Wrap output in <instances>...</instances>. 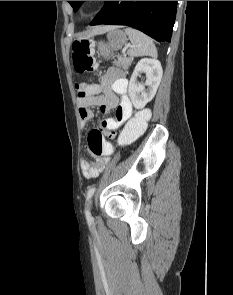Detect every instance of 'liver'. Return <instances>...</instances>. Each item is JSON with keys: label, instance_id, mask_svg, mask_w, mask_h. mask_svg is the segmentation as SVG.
<instances>
[{"label": "liver", "instance_id": "obj_1", "mask_svg": "<svg viewBox=\"0 0 233 295\" xmlns=\"http://www.w3.org/2000/svg\"><path fill=\"white\" fill-rule=\"evenodd\" d=\"M115 29L114 26H102V27H97L93 30L91 35H96V34H102L105 33L107 31L113 30Z\"/></svg>", "mask_w": 233, "mask_h": 295}]
</instances>
